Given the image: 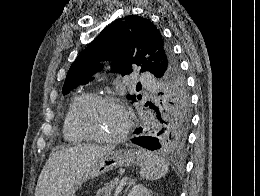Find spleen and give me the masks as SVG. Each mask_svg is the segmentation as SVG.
Returning a JSON list of instances; mask_svg holds the SVG:
<instances>
[{
    "mask_svg": "<svg viewBox=\"0 0 260 196\" xmlns=\"http://www.w3.org/2000/svg\"><path fill=\"white\" fill-rule=\"evenodd\" d=\"M138 166H140V174L145 180H160L164 178L168 172V164L164 158L157 156L155 152L148 150H140L137 158Z\"/></svg>",
    "mask_w": 260,
    "mask_h": 196,
    "instance_id": "1",
    "label": "spleen"
}]
</instances>
